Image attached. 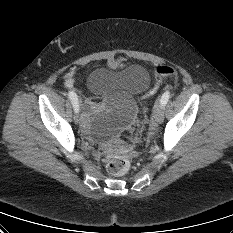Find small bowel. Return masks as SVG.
I'll use <instances>...</instances> for the list:
<instances>
[{
    "instance_id": "small-bowel-1",
    "label": "small bowel",
    "mask_w": 233,
    "mask_h": 233,
    "mask_svg": "<svg viewBox=\"0 0 233 233\" xmlns=\"http://www.w3.org/2000/svg\"><path fill=\"white\" fill-rule=\"evenodd\" d=\"M91 109H92V104H91V103H88V104L86 105V113L88 114V113L91 111ZM87 114H86V116H87Z\"/></svg>"
}]
</instances>
